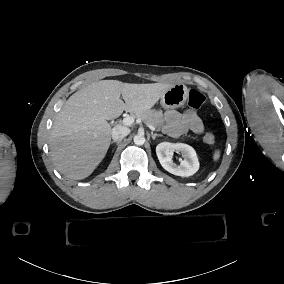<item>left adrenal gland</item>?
Returning a JSON list of instances; mask_svg holds the SVG:
<instances>
[{
    "label": "left adrenal gland",
    "instance_id": "obj_1",
    "mask_svg": "<svg viewBox=\"0 0 284 284\" xmlns=\"http://www.w3.org/2000/svg\"><path fill=\"white\" fill-rule=\"evenodd\" d=\"M151 135H152V139H155L157 136L163 137L162 134H157V133H153V132H151Z\"/></svg>",
    "mask_w": 284,
    "mask_h": 284
}]
</instances>
